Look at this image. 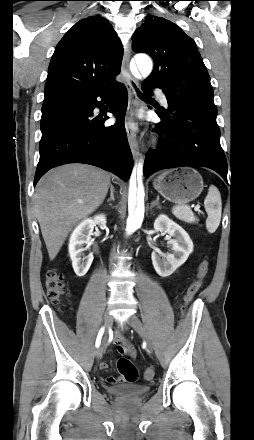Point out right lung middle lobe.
<instances>
[{
	"label": "right lung middle lobe",
	"mask_w": 254,
	"mask_h": 440,
	"mask_svg": "<svg viewBox=\"0 0 254 440\" xmlns=\"http://www.w3.org/2000/svg\"><path fill=\"white\" fill-rule=\"evenodd\" d=\"M68 102V97L65 94L56 95L44 100L42 106L41 126L44 121L54 115L58 109Z\"/></svg>",
	"instance_id": "right-lung-middle-lobe-1"
}]
</instances>
